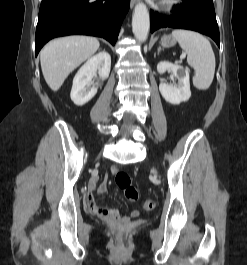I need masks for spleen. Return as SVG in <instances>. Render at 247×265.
<instances>
[{"mask_svg": "<svg viewBox=\"0 0 247 265\" xmlns=\"http://www.w3.org/2000/svg\"><path fill=\"white\" fill-rule=\"evenodd\" d=\"M172 36L186 52L188 64L195 69L193 85L199 90H207L215 73V55L210 42L203 35L189 30H174Z\"/></svg>", "mask_w": 247, "mask_h": 265, "instance_id": "3e777b00", "label": "spleen"}]
</instances>
